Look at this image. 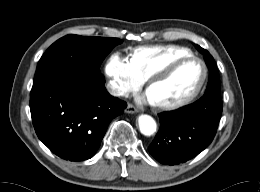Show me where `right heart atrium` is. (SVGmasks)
I'll list each match as a JSON object with an SVG mask.
<instances>
[{"label":"right heart atrium","instance_id":"right-heart-atrium-1","mask_svg":"<svg viewBox=\"0 0 260 192\" xmlns=\"http://www.w3.org/2000/svg\"><path fill=\"white\" fill-rule=\"evenodd\" d=\"M106 71L112 78L114 85L122 92L138 90L142 85V79L132 63L117 55L108 60Z\"/></svg>","mask_w":260,"mask_h":192}]
</instances>
